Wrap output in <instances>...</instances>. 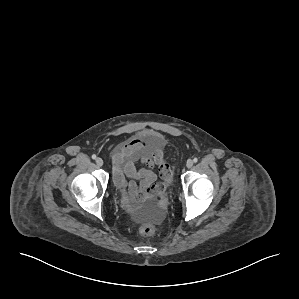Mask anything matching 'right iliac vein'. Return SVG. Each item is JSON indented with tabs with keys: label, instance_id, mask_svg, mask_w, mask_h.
<instances>
[{
	"label": "right iliac vein",
	"instance_id": "right-iliac-vein-1",
	"mask_svg": "<svg viewBox=\"0 0 299 299\" xmlns=\"http://www.w3.org/2000/svg\"><path fill=\"white\" fill-rule=\"evenodd\" d=\"M103 159L102 158H100V157H98L97 159H96V164L99 166V167H101L102 165H103Z\"/></svg>",
	"mask_w": 299,
	"mask_h": 299
}]
</instances>
